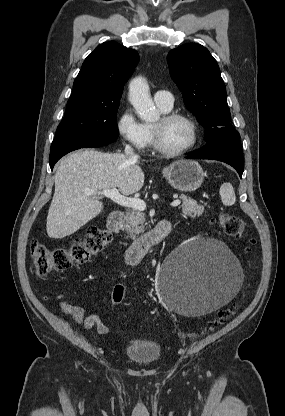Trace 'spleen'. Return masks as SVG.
I'll use <instances>...</instances> for the list:
<instances>
[{
    "label": "spleen",
    "mask_w": 285,
    "mask_h": 416,
    "mask_svg": "<svg viewBox=\"0 0 285 416\" xmlns=\"http://www.w3.org/2000/svg\"><path fill=\"white\" fill-rule=\"evenodd\" d=\"M219 194L221 196V202L224 206H233V204H235L236 196L231 184H222Z\"/></svg>",
    "instance_id": "spleen-1"
}]
</instances>
